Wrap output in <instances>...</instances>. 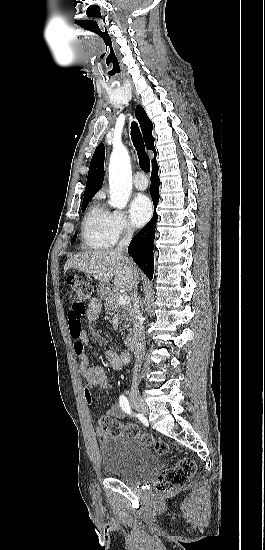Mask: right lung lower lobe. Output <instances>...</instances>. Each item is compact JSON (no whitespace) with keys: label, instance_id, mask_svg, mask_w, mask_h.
Instances as JSON below:
<instances>
[{"label":"right lung lower lobe","instance_id":"1","mask_svg":"<svg viewBox=\"0 0 265 550\" xmlns=\"http://www.w3.org/2000/svg\"><path fill=\"white\" fill-rule=\"evenodd\" d=\"M159 185L160 180L158 177V165L155 162L152 164L150 186V193L152 196L154 208L157 206L159 201ZM157 217V214L154 213L150 222L133 237L128 247L129 255L134 259L136 264L150 279H152L154 271L153 242L155 238V226Z\"/></svg>","mask_w":265,"mask_h":550}]
</instances>
